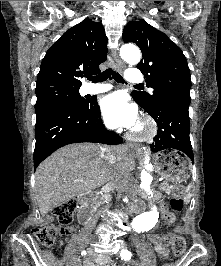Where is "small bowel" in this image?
<instances>
[{
  "label": "small bowel",
  "mask_w": 221,
  "mask_h": 266,
  "mask_svg": "<svg viewBox=\"0 0 221 266\" xmlns=\"http://www.w3.org/2000/svg\"><path fill=\"white\" fill-rule=\"evenodd\" d=\"M181 227L176 228V232H180ZM148 239L155 244L156 252L167 257L169 255V249L167 244H161L159 238L155 234H149ZM86 266H115L111 259L107 255L90 256L86 261Z\"/></svg>",
  "instance_id": "small-bowel-1"
}]
</instances>
